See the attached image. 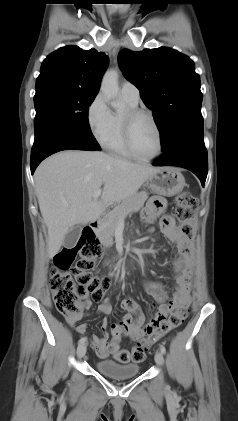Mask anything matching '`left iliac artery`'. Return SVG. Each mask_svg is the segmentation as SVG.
Masks as SVG:
<instances>
[{
	"label": "left iliac artery",
	"instance_id": "left-iliac-artery-1",
	"mask_svg": "<svg viewBox=\"0 0 238 421\" xmlns=\"http://www.w3.org/2000/svg\"><path fill=\"white\" fill-rule=\"evenodd\" d=\"M160 350H161V353L162 354H165L166 353V349H165V347L163 345L160 346Z\"/></svg>",
	"mask_w": 238,
	"mask_h": 421
}]
</instances>
